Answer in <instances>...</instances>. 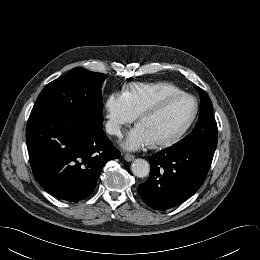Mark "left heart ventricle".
<instances>
[{
    "label": "left heart ventricle",
    "mask_w": 260,
    "mask_h": 260,
    "mask_svg": "<svg viewBox=\"0 0 260 260\" xmlns=\"http://www.w3.org/2000/svg\"><path fill=\"white\" fill-rule=\"evenodd\" d=\"M193 103L187 97L167 101L158 112L144 118L140 124L153 140L166 137L178 130L188 118Z\"/></svg>",
    "instance_id": "left-heart-ventricle-1"
}]
</instances>
